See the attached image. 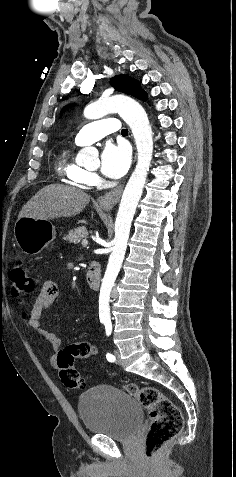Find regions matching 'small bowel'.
Wrapping results in <instances>:
<instances>
[{
  "instance_id": "1",
  "label": "small bowel",
  "mask_w": 236,
  "mask_h": 477,
  "mask_svg": "<svg viewBox=\"0 0 236 477\" xmlns=\"http://www.w3.org/2000/svg\"><path fill=\"white\" fill-rule=\"evenodd\" d=\"M57 289L58 281L56 279L46 280L32 300L26 319V325L29 328L38 331L54 350H57L61 346V341L54 331L42 327L41 319L45 310L55 300ZM90 353L91 355L95 353V348L93 346H91ZM50 364L53 367L57 366V356L55 354L50 357Z\"/></svg>"
}]
</instances>
